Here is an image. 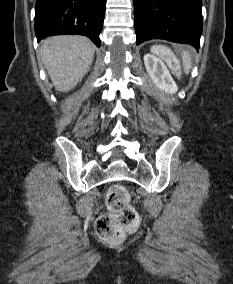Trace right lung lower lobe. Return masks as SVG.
<instances>
[{"mask_svg":"<svg viewBox=\"0 0 233 284\" xmlns=\"http://www.w3.org/2000/svg\"><path fill=\"white\" fill-rule=\"evenodd\" d=\"M105 6L106 0H37L36 37L84 35L99 47Z\"/></svg>","mask_w":233,"mask_h":284,"instance_id":"right-lung-lower-lobe-1","label":"right lung lower lobe"}]
</instances>
